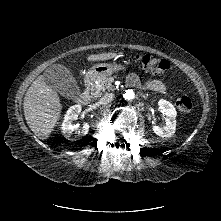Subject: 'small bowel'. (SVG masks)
I'll use <instances>...</instances> for the list:
<instances>
[{"label":"small bowel","instance_id":"small-bowel-1","mask_svg":"<svg viewBox=\"0 0 221 221\" xmlns=\"http://www.w3.org/2000/svg\"><path fill=\"white\" fill-rule=\"evenodd\" d=\"M130 82L134 85L139 84V79L137 76L133 75L130 77ZM147 87L154 91L164 92L166 90V85L161 80H152L147 83Z\"/></svg>","mask_w":221,"mask_h":221}]
</instances>
